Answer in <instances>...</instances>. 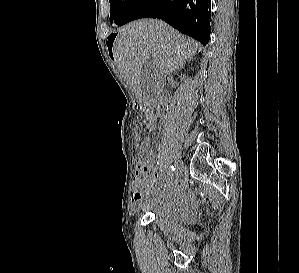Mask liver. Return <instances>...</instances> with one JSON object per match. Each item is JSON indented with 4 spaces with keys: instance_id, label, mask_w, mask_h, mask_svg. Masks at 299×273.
<instances>
[{
    "instance_id": "1",
    "label": "liver",
    "mask_w": 299,
    "mask_h": 273,
    "mask_svg": "<svg viewBox=\"0 0 299 273\" xmlns=\"http://www.w3.org/2000/svg\"><path fill=\"white\" fill-rule=\"evenodd\" d=\"M198 48L195 40L186 38L166 23L141 19L118 30L113 55L120 73L136 97L141 98V69L151 54L157 53L151 62L158 75L166 76L191 59Z\"/></svg>"
}]
</instances>
